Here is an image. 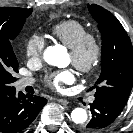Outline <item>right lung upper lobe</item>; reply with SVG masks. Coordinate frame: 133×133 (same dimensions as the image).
<instances>
[{"instance_id":"obj_1","label":"right lung upper lobe","mask_w":133,"mask_h":133,"mask_svg":"<svg viewBox=\"0 0 133 133\" xmlns=\"http://www.w3.org/2000/svg\"><path fill=\"white\" fill-rule=\"evenodd\" d=\"M16 9H18V8H13V7H2V8H0V15H1L2 13H4L5 11H14V10H16Z\"/></svg>"}]
</instances>
